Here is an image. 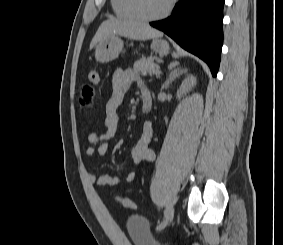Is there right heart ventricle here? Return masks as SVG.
<instances>
[{
	"label": "right heart ventricle",
	"mask_w": 283,
	"mask_h": 245,
	"mask_svg": "<svg viewBox=\"0 0 283 245\" xmlns=\"http://www.w3.org/2000/svg\"><path fill=\"white\" fill-rule=\"evenodd\" d=\"M111 6L119 18L134 19L136 16L130 7V0H111Z\"/></svg>",
	"instance_id": "e07e8e85"
}]
</instances>
